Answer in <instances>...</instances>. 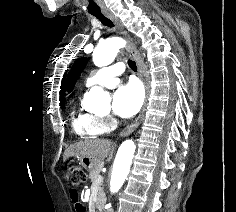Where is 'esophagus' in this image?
<instances>
[{
    "label": "esophagus",
    "mask_w": 236,
    "mask_h": 212,
    "mask_svg": "<svg viewBox=\"0 0 236 212\" xmlns=\"http://www.w3.org/2000/svg\"><path fill=\"white\" fill-rule=\"evenodd\" d=\"M104 15L113 22V24L115 25V27L117 29L118 34L125 37L127 40H129V36L127 35V32L122 27L121 23L112 14H110L108 12H105ZM126 50L129 54V56L131 58H133L136 61L137 65H138V70H139L140 77L143 80L144 85H145L146 95H145V102H144V105L142 107V110H141L140 114L138 115V117L136 118V120L132 124L128 125L120 133L121 136H126V135L132 133L134 131V129H136L139 126V124L142 120V117L144 115L145 109H146L147 97H148V91H149L148 84H147V81H146V78H145V75H144V70L142 69L141 60L138 57L136 49L132 45H128Z\"/></svg>",
    "instance_id": "esophagus-1"
}]
</instances>
